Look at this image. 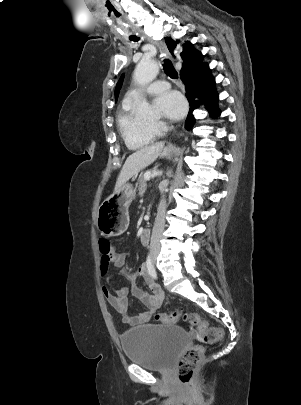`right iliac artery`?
<instances>
[{"label":"right iliac artery","mask_w":301,"mask_h":405,"mask_svg":"<svg viewBox=\"0 0 301 405\" xmlns=\"http://www.w3.org/2000/svg\"><path fill=\"white\" fill-rule=\"evenodd\" d=\"M146 265H147L149 274H150L153 278L156 279V278H157V274H156V271H155V269H154V267H153L152 260H151V257H150V256L147 257Z\"/></svg>","instance_id":"obj_1"}]
</instances>
